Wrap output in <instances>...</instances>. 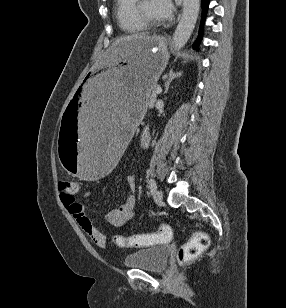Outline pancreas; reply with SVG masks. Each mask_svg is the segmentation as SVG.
Here are the masks:
<instances>
[{"label":"pancreas","mask_w":286,"mask_h":308,"mask_svg":"<svg viewBox=\"0 0 286 308\" xmlns=\"http://www.w3.org/2000/svg\"><path fill=\"white\" fill-rule=\"evenodd\" d=\"M156 87H154L152 90H150V92L148 93V102H147V106L148 107H153L154 102L156 101L157 98V93L155 92Z\"/></svg>","instance_id":"1"}]
</instances>
